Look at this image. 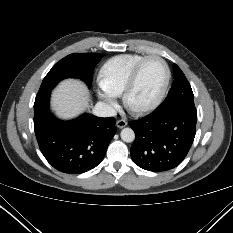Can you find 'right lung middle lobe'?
<instances>
[{
	"mask_svg": "<svg viewBox=\"0 0 233 233\" xmlns=\"http://www.w3.org/2000/svg\"><path fill=\"white\" fill-rule=\"evenodd\" d=\"M102 57L97 53H74L61 59L43 79L36 98L50 93L65 78H80L90 87L93 70Z\"/></svg>",
	"mask_w": 233,
	"mask_h": 233,
	"instance_id": "dd1d6c3e",
	"label": "right lung middle lobe"
}]
</instances>
